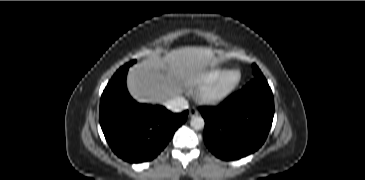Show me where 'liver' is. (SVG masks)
Returning <instances> with one entry per match:
<instances>
[{
  "instance_id": "liver-1",
  "label": "liver",
  "mask_w": 365,
  "mask_h": 180,
  "mask_svg": "<svg viewBox=\"0 0 365 180\" xmlns=\"http://www.w3.org/2000/svg\"><path fill=\"white\" fill-rule=\"evenodd\" d=\"M217 63L211 48L174 49L163 57L131 67L127 78L128 90L141 103L164 104L179 97L207 67H214Z\"/></svg>"
}]
</instances>
